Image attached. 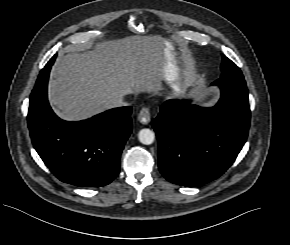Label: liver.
Instances as JSON below:
<instances>
[{"label": "liver", "instance_id": "liver-1", "mask_svg": "<svg viewBox=\"0 0 290 245\" xmlns=\"http://www.w3.org/2000/svg\"><path fill=\"white\" fill-rule=\"evenodd\" d=\"M172 48L168 41L161 45L130 36L97 42L82 53H68L52 68L50 104L61 118L76 121L112 108L117 97L153 90L163 79L180 92Z\"/></svg>", "mask_w": 290, "mask_h": 245}]
</instances>
